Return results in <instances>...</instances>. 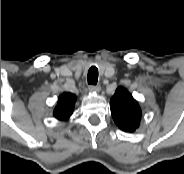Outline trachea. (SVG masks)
I'll return each mask as SVG.
<instances>
[{
	"mask_svg": "<svg viewBox=\"0 0 184 174\" xmlns=\"http://www.w3.org/2000/svg\"><path fill=\"white\" fill-rule=\"evenodd\" d=\"M87 80L89 85H96L98 81V69L95 66H92L87 75Z\"/></svg>",
	"mask_w": 184,
	"mask_h": 174,
	"instance_id": "trachea-1",
	"label": "trachea"
}]
</instances>
